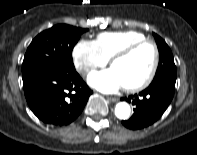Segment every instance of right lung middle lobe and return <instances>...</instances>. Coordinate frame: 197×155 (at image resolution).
<instances>
[{
    "label": "right lung middle lobe",
    "mask_w": 197,
    "mask_h": 155,
    "mask_svg": "<svg viewBox=\"0 0 197 155\" xmlns=\"http://www.w3.org/2000/svg\"><path fill=\"white\" fill-rule=\"evenodd\" d=\"M87 30L59 24L35 37L22 64L23 85L48 71L74 69L72 50L81 34Z\"/></svg>",
    "instance_id": "1"
}]
</instances>
